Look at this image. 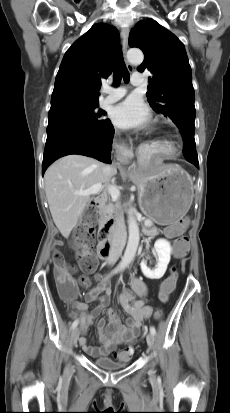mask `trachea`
Segmentation results:
<instances>
[{
  "instance_id": "3493384b",
  "label": "trachea",
  "mask_w": 230,
  "mask_h": 413,
  "mask_svg": "<svg viewBox=\"0 0 230 413\" xmlns=\"http://www.w3.org/2000/svg\"><path fill=\"white\" fill-rule=\"evenodd\" d=\"M122 78L127 83L130 79V75L125 65L121 48L119 47L116 50L115 57H114V72H113L114 86H118Z\"/></svg>"
}]
</instances>
